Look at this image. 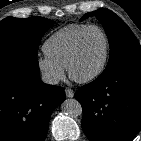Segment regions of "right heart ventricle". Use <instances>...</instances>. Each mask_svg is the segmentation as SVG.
Wrapping results in <instances>:
<instances>
[{"label":"right heart ventricle","mask_w":141,"mask_h":141,"mask_svg":"<svg viewBox=\"0 0 141 141\" xmlns=\"http://www.w3.org/2000/svg\"><path fill=\"white\" fill-rule=\"evenodd\" d=\"M88 26V24H70L56 31L43 44L45 55L66 67L77 37Z\"/></svg>","instance_id":"obj_1"}]
</instances>
